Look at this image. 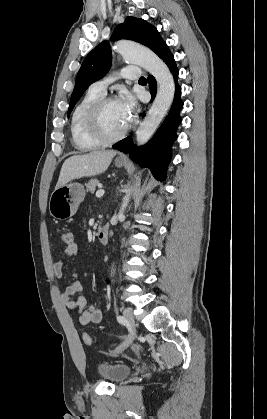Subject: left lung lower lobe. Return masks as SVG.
<instances>
[{
    "label": "left lung lower lobe",
    "instance_id": "0a47b994",
    "mask_svg": "<svg viewBox=\"0 0 267 419\" xmlns=\"http://www.w3.org/2000/svg\"><path fill=\"white\" fill-rule=\"evenodd\" d=\"M158 56L167 64L176 83L175 97L170 112L153 138L144 148L134 146L131 137L119 141L113 145V148L129 154L133 161H136L143 167L150 168L153 171V176L157 180L163 181L165 180L168 163L171 158V147L177 138L176 130L181 123L180 110L183 107V102L180 98L181 87L177 83L179 71L174 56L167 45L163 47ZM148 83L152 95L151 100H153L156 95L157 83L153 76L148 77Z\"/></svg>",
    "mask_w": 267,
    "mask_h": 419
}]
</instances>
